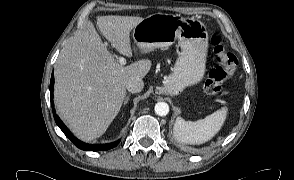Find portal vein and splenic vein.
<instances>
[{
	"mask_svg": "<svg viewBox=\"0 0 294 180\" xmlns=\"http://www.w3.org/2000/svg\"><path fill=\"white\" fill-rule=\"evenodd\" d=\"M118 61L121 65H125L126 64V59L124 57H118Z\"/></svg>",
	"mask_w": 294,
	"mask_h": 180,
	"instance_id": "portal-vein-and-splenic-vein-1",
	"label": "portal vein and splenic vein"
}]
</instances>
